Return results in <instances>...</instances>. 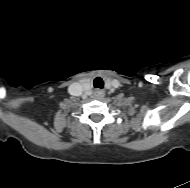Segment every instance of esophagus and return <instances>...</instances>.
<instances>
[{
    "mask_svg": "<svg viewBox=\"0 0 190 188\" xmlns=\"http://www.w3.org/2000/svg\"><path fill=\"white\" fill-rule=\"evenodd\" d=\"M104 95H105V93H104V91H102V90H97V91H95V96H96V98H102V97H104Z\"/></svg>",
    "mask_w": 190,
    "mask_h": 188,
    "instance_id": "obj_1",
    "label": "esophagus"
}]
</instances>
